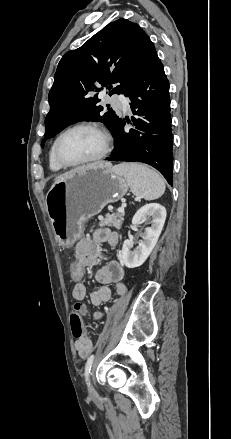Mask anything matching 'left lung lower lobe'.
<instances>
[{
    "label": "left lung lower lobe",
    "mask_w": 231,
    "mask_h": 439,
    "mask_svg": "<svg viewBox=\"0 0 231 439\" xmlns=\"http://www.w3.org/2000/svg\"><path fill=\"white\" fill-rule=\"evenodd\" d=\"M135 117L133 128L124 130L125 121L119 118L113 133L115 148L109 161L142 162L156 168L173 183V153L170 115L169 82L153 46L137 75L127 86Z\"/></svg>",
    "instance_id": "obj_1"
}]
</instances>
